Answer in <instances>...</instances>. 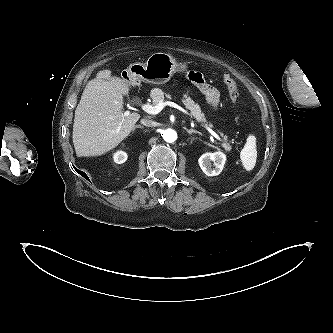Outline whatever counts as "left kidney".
I'll list each match as a JSON object with an SVG mask.
<instances>
[{
	"instance_id": "obj_1",
	"label": "left kidney",
	"mask_w": 333,
	"mask_h": 333,
	"mask_svg": "<svg viewBox=\"0 0 333 333\" xmlns=\"http://www.w3.org/2000/svg\"><path fill=\"white\" fill-rule=\"evenodd\" d=\"M226 155L223 152L205 153L198 162L200 168L207 176H217L223 170ZM214 166V168H212Z\"/></svg>"
}]
</instances>
